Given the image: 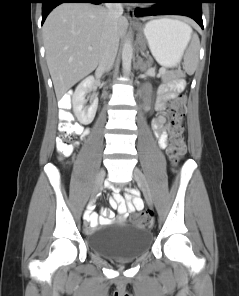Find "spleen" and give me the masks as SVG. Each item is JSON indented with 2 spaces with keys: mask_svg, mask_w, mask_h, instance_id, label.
I'll return each mask as SVG.
<instances>
[{
  "mask_svg": "<svg viewBox=\"0 0 239 296\" xmlns=\"http://www.w3.org/2000/svg\"><path fill=\"white\" fill-rule=\"evenodd\" d=\"M186 26L188 28L189 40H190L192 29L188 25H186ZM198 51H199V39H198V36L194 34L191 45H190V47L187 51V54L185 56V59H184L185 71L189 75L193 74L196 69L197 61H198Z\"/></svg>",
  "mask_w": 239,
  "mask_h": 296,
  "instance_id": "1",
  "label": "spleen"
}]
</instances>
